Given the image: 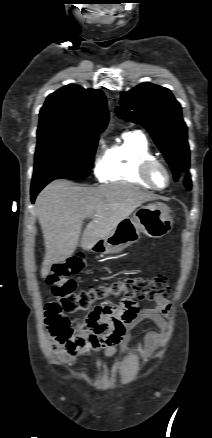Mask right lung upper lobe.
<instances>
[{
  "label": "right lung upper lobe",
  "instance_id": "obj_1",
  "mask_svg": "<svg viewBox=\"0 0 212 438\" xmlns=\"http://www.w3.org/2000/svg\"><path fill=\"white\" fill-rule=\"evenodd\" d=\"M106 99L101 90L68 85L50 94L40 110L37 133L49 130L99 134L108 122Z\"/></svg>",
  "mask_w": 212,
  "mask_h": 438
}]
</instances>
